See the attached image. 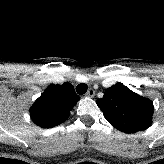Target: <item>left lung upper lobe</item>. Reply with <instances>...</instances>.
<instances>
[{"mask_svg": "<svg viewBox=\"0 0 164 164\" xmlns=\"http://www.w3.org/2000/svg\"><path fill=\"white\" fill-rule=\"evenodd\" d=\"M97 105L106 120L125 133L145 130L152 123L153 102L121 83L106 89L103 98L97 100Z\"/></svg>", "mask_w": 164, "mask_h": 164, "instance_id": "1", "label": "left lung upper lobe"}]
</instances>
